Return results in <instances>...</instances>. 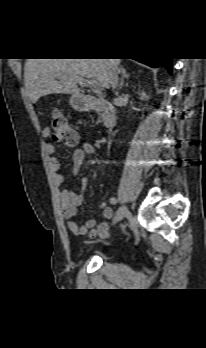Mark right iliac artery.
Listing matches in <instances>:
<instances>
[{"instance_id": "82829eb1", "label": "right iliac artery", "mask_w": 206, "mask_h": 348, "mask_svg": "<svg viewBox=\"0 0 206 348\" xmlns=\"http://www.w3.org/2000/svg\"><path fill=\"white\" fill-rule=\"evenodd\" d=\"M109 201H110L111 203H115V202H116L115 197H114L113 195H110V196H109Z\"/></svg>"}]
</instances>
